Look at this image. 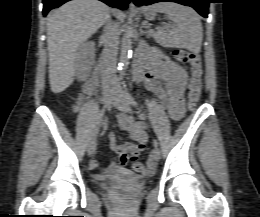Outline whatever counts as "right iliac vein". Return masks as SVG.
I'll use <instances>...</instances> for the list:
<instances>
[{
    "mask_svg": "<svg viewBox=\"0 0 260 217\" xmlns=\"http://www.w3.org/2000/svg\"><path fill=\"white\" fill-rule=\"evenodd\" d=\"M113 100V95L111 93H106L103 96V103L107 105L109 102ZM96 150V140H92L88 147V155L93 156Z\"/></svg>",
    "mask_w": 260,
    "mask_h": 217,
    "instance_id": "obj_1",
    "label": "right iliac vein"
}]
</instances>
